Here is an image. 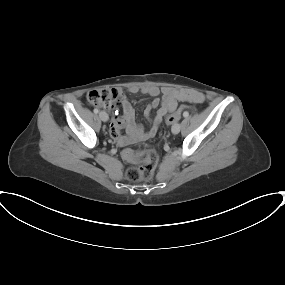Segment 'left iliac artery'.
I'll use <instances>...</instances> for the list:
<instances>
[{
	"label": "left iliac artery",
	"mask_w": 285,
	"mask_h": 285,
	"mask_svg": "<svg viewBox=\"0 0 285 285\" xmlns=\"http://www.w3.org/2000/svg\"><path fill=\"white\" fill-rule=\"evenodd\" d=\"M187 115H188L187 113H184V114H183L184 117H187Z\"/></svg>",
	"instance_id": "obj_1"
}]
</instances>
